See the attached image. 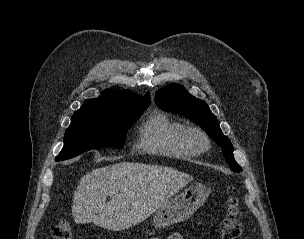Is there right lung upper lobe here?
<instances>
[{
  "label": "right lung upper lobe",
  "mask_w": 304,
  "mask_h": 239,
  "mask_svg": "<svg viewBox=\"0 0 304 239\" xmlns=\"http://www.w3.org/2000/svg\"><path fill=\"white\" fill-rule=\"evenodd\" d=\"M150 94L141 97L130 90L110 91L95 99L86 100L84 105L74 115L81 114H115L127 108L148 107Z\"/></svg>",
  "instance_id": "obj_1"
}]
</instances>
